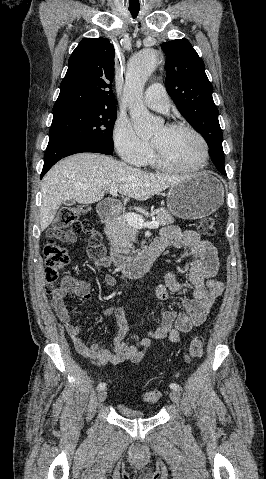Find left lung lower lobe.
I'll return each instance as SVG.
<instances>
[{"mask_svg": "<svg viewBox=\"0 0 266 479\" xmlns=\"http://www.w3.org/2000/svg\"><path fill=\"white\" fill-rule=\"evenodd\" d=\"M221 173H222L223 175H226V171H222Z\"/></svg>", "mask_w": 266, "mask_h": 479, "instance_id": "0a47b994", "label": "left lung lower lobe"}]
</instances>
